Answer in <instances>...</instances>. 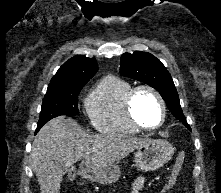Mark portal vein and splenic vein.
<instances>
[{
	"label": "portal vein and splenic vein",
	"instance_id": "portal-vein-and-splenic-vein-1",
	"mask_svg": "<svg viewBox=\"0 0 221 193\" xmlns=\"http://www.w3.org/2000/svg\"><path fill=\"white\" fill-rule=\"evenodd\" d=\"M92 151H96V149H95V148H93V149H92Z\"/></svg>",
	"mask_w": 221,
	"mask_h": 193
}]
</instances>
